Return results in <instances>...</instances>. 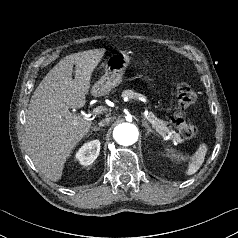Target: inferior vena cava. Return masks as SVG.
I'll list each match as a JSON object with an SVG mask.
<instances>
[{"mask_svg":"<svg viewBox=\"0 0 238 238\" xmlns=\"http://www.w3.org/2000/svg\"><path fill=\"white\" fill-rule=\"evenodd\" d=\"M110 121H111V118H105V119L101 120V121L98 123V125H99V126H105V125H107Z\"/></svg>","mask_w":238,"mask_h":238,"instance_id":"inferior-vena-cava-1","label":"inferior vena cava"}]
</instances>
